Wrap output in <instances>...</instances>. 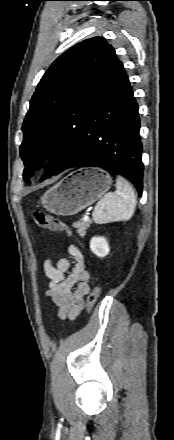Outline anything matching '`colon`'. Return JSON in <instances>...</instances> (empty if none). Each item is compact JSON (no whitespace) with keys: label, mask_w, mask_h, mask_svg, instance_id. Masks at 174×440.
Returning a JSON list of instances; mask_svg holds the SVG:
<instances>
[{"label":"colon","mask_w":174,"mask_h":440,"mask_svg":"<svg viewBox=\"0 0 174 440\" xmlns=\"http://www.w3.org/2000/svg\"><path fill=\"white\" fill-rule=\"evenodd\" d=\"M35 223L43 229L50 231H59L71 233L70 229L65 226L58 218L52 215H46L44 213L35 211L33 213ZM101 291L100 285H95L87 297V307L91 311L99 297Z\"/></svg>","instance_id":"obj_1"}]
</instances>
